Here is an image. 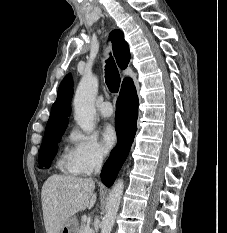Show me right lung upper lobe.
Wrapping results in <instances>:
<instances>
[{"instance_id": "cb5924a9", "label": "right lung upper lobe", "mask_w": 227, "mask_h": 233, "mask_svg": "<svg viewBox=\"0 0 227 233\" xmlns=\"http://www.w3.org/2000/svg\"><path fill=\"white\" fill-rule=\"evenodd\" d=\"M113 53L117 64L121 69H125L130 61L129 46L124 40V35L120 30H114L110 33ZM130 78H126L121 86V91L128 87ZM73 94V81L71 74H68L61 82L57 99L54 102L49 120L46 125L44 138H50L61 132H64L68 125V116L71 111L70 103Z\"/></svg>"}]
</instances>
